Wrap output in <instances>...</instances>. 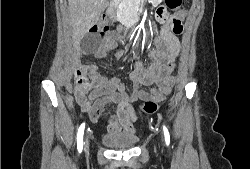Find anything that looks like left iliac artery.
Returning a JSON list of instances; mask_svg holds the SVG:
<instances>
[{
    "instance_id": "44dca946",
    "label": "left iliac artery",
    "mask_w": 250,
    "mask_h": 169,
    "mask_svg": "<svg viewBox=\"0 0 250 169\" xmlns=\"http://www.w3.org/2000/svg\"><path fill=\"white\" fill-rule=\"evenodd\" d=\"M163 130H164V136H165L166 144L169 145V143H170V135H169L168 129L166 128V126H163Z\"/></svg>"
}]
</instances>
